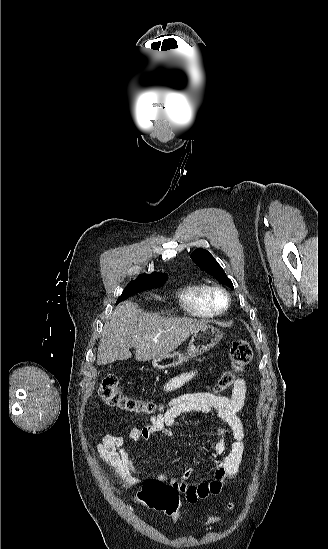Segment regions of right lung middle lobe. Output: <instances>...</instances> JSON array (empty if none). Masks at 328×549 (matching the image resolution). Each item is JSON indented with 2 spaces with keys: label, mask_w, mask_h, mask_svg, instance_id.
Wrapping results in <instances>:
<instances>
[{
  "label": "right lung middle lobe",
  "mask_w": 328,
  "mask_h": 549,
  "mask_svg": "<svg viewBox=\"0 0 328 549\" xmlns=\"http://www.w3.org/2000/svg\"><path fill=\"white\" fill-rule=\"evenodd\" d=\"M167 275H160L158 273L144 274L138 276V278L132 281L123 291L121 296L118 298L117 304L131 295L149 290L152 288L159 287L166 282Z\"/></svg>",
  "instance_id": "right-lung-middle-lobe-1"
}]
</instances>
